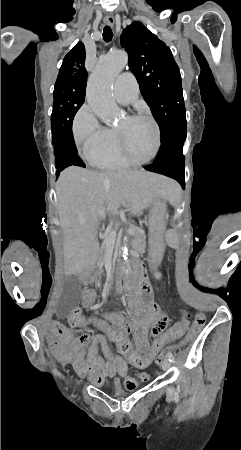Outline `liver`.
Instances as JSON below:
<instances>
[{
  "label": "liver",
  "instance_id": "liver-1",
  "mask_svg": "<svg viewBox=\"0 0 241 450\" xmlns=\"http://www.w3.org/2000/svg\"><path fill=\"white\" fill-rule=\"evenodd\" d=\"M172 180L152 172H114L103 174L70 166L56 182L57 212L64 230V260L67 274H81L97 260L96 240L100 218L125 212L141 214L155 198H166Z\"/></svg>",
  "mask_w": 241,
  "mask_h": 450
}]
</instances>
